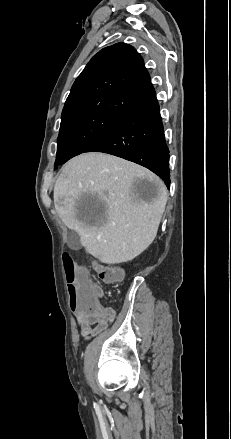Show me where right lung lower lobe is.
<instances>
[{
  "mask_svg": "<svg viewBox=\"0 0 231 439\" xmlns=\"http://www.w3.org/2000/svg\"><path fill=\"white\" fill-rule=\"evenodd\" d=\"M84 152H104L140 164L170 188L169 150L156 98L132 110Z\"/></svg>",
  "mask_w": 231,
  "mask_h": 439,
  "instance_id": "98d812e1",
  "label": "right lung lower lobe"
}]
</instances>
